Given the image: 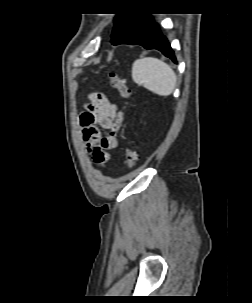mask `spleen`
I'll return each mask as SVG.
<instances>
[{"label":"spleen","instance_id":"spleen-1","mask_svg":"<svg viewBox=\"0 0 252 303\" xmlns=\"http://www.w3.org/2000/svg\"><path fill=\"white\" fill-rule=\"evenodd\" d=\"M132 79L160 96L170 95L176 85V75L171 67L154 57L137 59L132 66Z\"/></svg>","mask_w":252,"mask_h":303}]
</instances>
